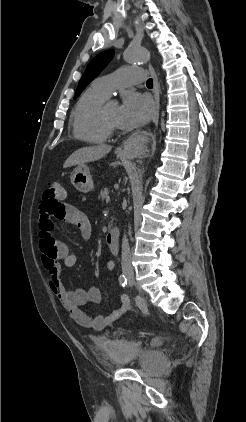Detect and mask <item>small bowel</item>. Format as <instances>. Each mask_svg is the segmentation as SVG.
<instances>
[{
  "label": "small bowel",
  "instance_id": "small-bowel-1",
  "mask_svg": "<svg viewBox=\"0 0 246 422\" xmlns=\"http://www.w3.org/2000/svg\"><path fill=\"white\" fill-rule=\"evenodd\" d=\"M55 220H62L77 227L84 239H89L91 236V223L84 212L73 205L63 204L55 210H50L44 202L40 206L39 243L49 286L76 323L95 331H101L129 310V297L122 294L120 297L122 306L109 315L91 316L82 310L81 307L86 304L100 303L102 292L95 286L70 291L62 284L59 262L64 261L67 267H73L77 263V255L71 253L65 243L55 238ZM106 268L113 271L115 265L112 261H107Z\"/></svg>",
  "mask_w": 246,
  "mask_h": 422
}]
</instances>
